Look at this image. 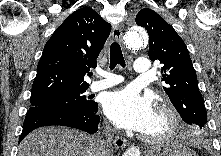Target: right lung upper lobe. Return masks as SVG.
<instances>
[{"label":"right lung upper lobe","mask_w":221,"mask_h":156,"mask_svg":"<svg viewBox=\"0 0 221 156\" xmlns=\"http://www.w3.org/2000/svg\"><path fill=\"white\" fill-rule=\"evenodd\" d=\"M110 30L111 25L88 7L67 17L45 44L31 99L87 89L84 76L97 65Z\"/></svg>","instance_id":"1"}]
</instances>
